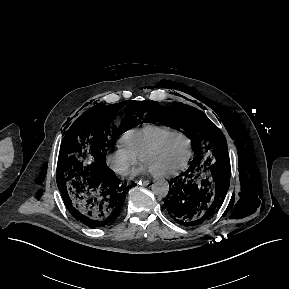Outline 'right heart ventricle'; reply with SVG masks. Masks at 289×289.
Segmentation results:
<instances>
[{"label":"right heart ventricle","mask_w":289,"mask_h":289,"mask_svg":"<svg viewBox=\"0 0 289 289\" xmlns=\"http://www.w3.org/2000/svg\"><path fill=\"white\" fill-rule=\"evenodd\" d=\"M174 131V128L168 126L146 124L125 132L120 138V143L137 157H141L156 141Z\"/></svg>","instance_id":"right-heart-ventricle-1"}]
</instances>
